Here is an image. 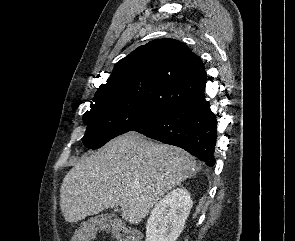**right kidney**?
<instances>
[{
    "mask_svg": "<svg viewBox=\"0 0 295 241\" xmlns=\"http://www.w3.org/2000/svg\"><path fill=\"white\" fill-rule=\"evenodd\" d=\"M193 202L185 188H177L155 204L146 224L145 241H176Z\"/></svg>",
    "mask_w": 295,
    "mask_h": 241,
    "instance_id": "1",
    "label": "right kidney"
}]
</instances>
